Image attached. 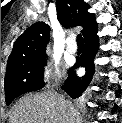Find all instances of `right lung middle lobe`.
<instances>
[{"label":"right lung middle lobe","mask_w":122,"mask_h":123,"mask_svg":"<svg viewBox=\"0 0 122 123\" xmlns=\"http://www.w3.org/2000/svg\"><path fill=\"white\" fill-rule=\"evenodd\" d=\"M46 54L39 55L7 68L5 74L6 104L19 95L40 90L45 86L43 78Z\"/></svg>","instance_id":"dd1d6c3e"}]
</instances>
